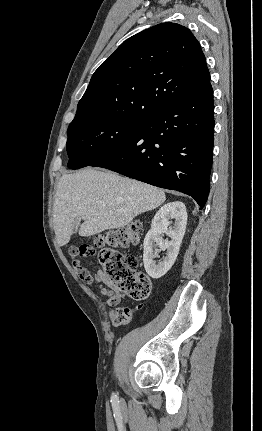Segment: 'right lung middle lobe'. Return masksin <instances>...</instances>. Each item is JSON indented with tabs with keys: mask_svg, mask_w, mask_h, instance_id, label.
<instances>
[{
	"mask_svg": "<svg viewBox=\"0 0 262 431\" xmlns=\"http://www.w3.org/2000/svg\"><path fill=\"white\" fill-rule=\"evenodd\" d=\"M142 119L119 118L84 121L68 128V168L89 166L126 141Z\"/></svg>",
	"mask_w": 262,
	"mask_h": 431,
	"instance_id": "dd1d6c3e",
	"label": "right lung middle lobe"
}]
</instances>
